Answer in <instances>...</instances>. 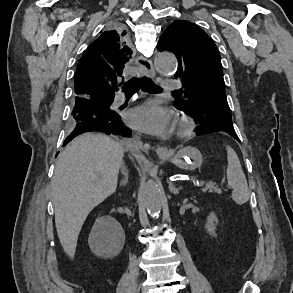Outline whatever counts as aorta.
<instances>
[{
	"label": "aorta",
	"instance_id": "aorta-1",
	"mask_svg": "<svg viewBox=\"0 0 293 293\" xmlns=\"http://www.w3.org/2000/svg\"><path fill=\"white\" fill-rule=\"evenodd\" d=\"M155 63L157 70L163 74L174 72L176 68L175 56L168 52H159ZM142 198L148 213L152 217H158L161 211L162 194L160 187L154 180H148L142 187Z\"/></svg>",
	"mask_w": 293,
	"mask_h": 293
}]
</instances>
